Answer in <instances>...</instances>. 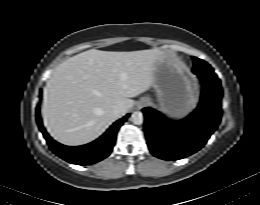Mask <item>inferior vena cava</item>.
Wrapping results in <instances>:
<instances>
[{"instance_id": "1", "label": "inferior vena cava", "mask_w": 260, "mask_h": 205, "mask_svg": "<svg viewBox=\"0 0 260 205\" xmlns=\"http://www.w3.org/2000/svg\"><path fill=\"white\" fill-rule=\"evenodd\" d=\"M126 113V108L123 105H115L112 110H111V114L118 118L121 117L122 115H124Z\"/></svg>"}]
</instances>
